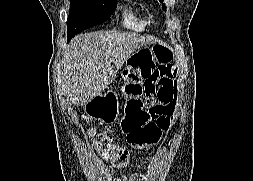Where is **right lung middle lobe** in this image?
<instances>
[{
    "mask_svg": "<svg viewBox=\"0 0 253 181\" xmlns=\"http://www.w3.org/2000/svg\"><path fill=\"white\" fill-rule=\"evenodd\" d=\"M115 9L116 0H71L67 19L68 36H75L108 20Z\"/></svg>",
    "mask_w": 253,
    "mask_h": 181,
    "instance_id": "obj_1",
    "label": "right lung middle lobe"
}]
</instances>
